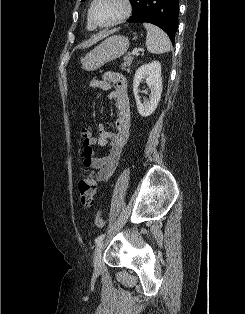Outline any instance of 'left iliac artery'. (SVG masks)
<instances>
[{
  "label": "left iliac artery",
  "instance_id": "left-iliac-artery-1",
  "mask_svg": "<svg viewBox=\"0 0 245 314\" xmlns=\"http://www.w3.org/2000/svg\"><path fill=\"white\" fill-rule=\"evenodd\" d=\"M104 237H105V234L99 235L95 240L96 245H98L104 239Z\"/></svg>",
  "mask_w": 245,
  "mask_h": 314
}]
</instances>
